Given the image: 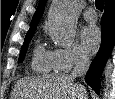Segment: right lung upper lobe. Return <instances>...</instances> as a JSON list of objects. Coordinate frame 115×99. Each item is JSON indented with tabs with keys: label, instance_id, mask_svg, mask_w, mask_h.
I'll return each instance as SVG.
<instances>
[{
	"label": "right lung upper lobe",
	"instance_id": "obj_1",
	"mask_svg": "<svg viewBox=\"0 0 115 99\" xmlns=\"http://www.w3.org/2000/svg\"><path fill=\"white\" fill-rule=\"evenodd\" d=\"M112 2L114 3L115 0H106L105 5H106V4H110V3H112ZM45 3H46V0H40L39 5H38V8H37V10H36V12L34 13V16H33V18H32L31 25H30V29H29V31L27 32L26 35L31 34V33L34 34V31H35V29H36V26H37V24H38V21L40 20L42 14H43V11H44V8H45Z\"/></svg>",
	"mask_w": 115,
	"mask_h": 99
}]
</instances>
